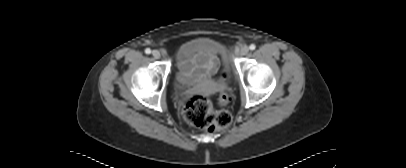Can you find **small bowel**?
Listing matches in <instances>:
<instances>
[{
  "mask_svg": "<svg viewBox=\"0 0 406 168\" xmlns=\"http://www.w3.org/2000/svg\"><path fill=\"white\" fill-rule=\"evenodd\" d=\"M218 59L210 53L196 52L183 60L182 71L190 74L196 71L200 74H212L218 68Z\"/></svg>",
  "mask_w": 406,
  "mask_h": 168,
  "instance_id": "obj_1",
  "label": "small bowel"
}]
</instances>
